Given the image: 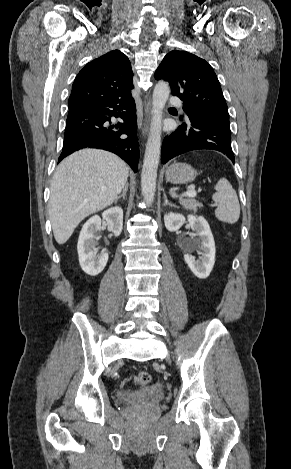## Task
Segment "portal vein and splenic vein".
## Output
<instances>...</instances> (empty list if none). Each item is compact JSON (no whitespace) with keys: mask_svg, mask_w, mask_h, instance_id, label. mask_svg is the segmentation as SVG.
<instances>
[{"mask_svg":"<svg viewBox=\"0 0 291 469\" xmlns=\"http://www.w3.org/2000/svg\"><path fill=\"white\" fill-rule=\"evenodd\" d=\"M196 191L194 188H191L187 192L183 193L181 196H187V197H195L196 196Z\"/></svg>","mask_w":291,"mask_h":469,"instance_id":"obj_1","label":"portal vein and splenic vein"}]
</instances>
